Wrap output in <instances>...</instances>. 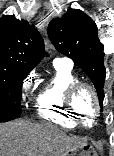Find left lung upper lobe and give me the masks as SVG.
I'll use <instances>...</instances> for the list:
<instances>
[{
	"label": "left lung upper lobe",
	"mask_w": 114,
	"mask_h": 156,
	"mask_svg": "<svg viewBox=\"0 0 114 156\" xmlns=\"http://www.w3.org/2000/svg\"><path fill=\"white\" fill-rule=\"evenodd\" d=\"M47 32L56 49L90 77L102 106L106 71L103 45L98 39L95 22L81 10L69 9L63 17L51 20Z\"/></svg>",
	"instance_id": "left-lung-upper-lobe-1"
}]
</instances>
